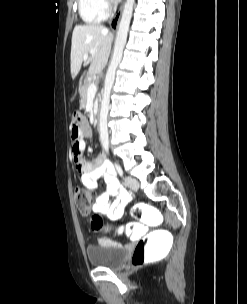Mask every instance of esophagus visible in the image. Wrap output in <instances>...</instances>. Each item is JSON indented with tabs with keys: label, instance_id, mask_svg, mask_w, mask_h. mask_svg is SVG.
<instances>
[{
	"label": "esophagus",
	"instance_id": "esophagus-1",
	"mask_svg": "<svg viewBox=\"0 0 247 304\" xmlns=\"http://www.w3.org/2000/svg\"><path fill=\"white\" fill-rule=\"evenodd\" d=\"M124 3H125V1L122 2L119 10L115 13V15L113 16V18L111 20V30L113 32H116L118 29V25H119L122 11H123Z\"/></svg>",
	"mask_w": 247,
	"mask_h": 304
}]
</instances>
